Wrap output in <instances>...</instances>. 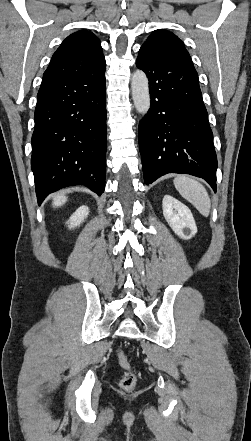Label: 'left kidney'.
<instances>
[{"instance_id": "left-kidney-1", "label": "left kidney", "mask_w": 251, "mask_h": 441, "mask_svg": "<svg viewBox=\"0 0 251 441\" xmlns=\"http://www.w3.org/2000/svg\"><path fill=\"white\" fill-rule=\"evenodd\" d=\"M162 207L165 220L177 236L189 240L197 233L195 220L186 205L170 195H165Z\"/></svg>"}]
</instances>
